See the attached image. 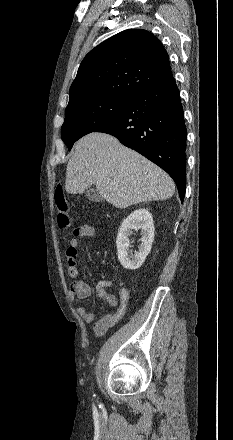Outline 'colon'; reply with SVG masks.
Returning a JSON list of instances; mask_svg holds the SVG:
<instances>
[{
    "instance_id": "1",
    "label": "colon",
    "mask_w": 233,
    "mask_h": 440,
    "mask_svg": "<svg viewBox=\"0 0 233 440\" xmlns=\"http://www.w3.org/2000/svg\"><path fill=\"white\" fill-rule=\"evenodd\" d=\"M55 204L57 208V225L60 229H67L71 225L68 203L61 185L55 189Z\"/></svg>"
}]
</instances>
